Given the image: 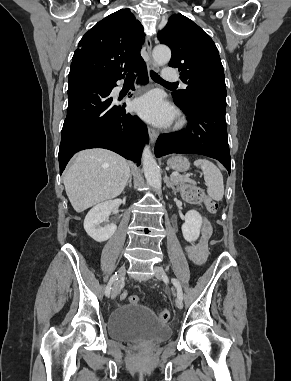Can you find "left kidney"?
<instances>
[{"instance_id":"1","label":"left kidney","mask_w":291,"mask_h":381,"mask_svg":"<svg viewBox=\"0 0 291 381\" xmlns=\"http://www.w3.org/2000/svg\"><path fill=\"white\" fill-rule=\"evenodd\" d=\"M182 234L187 242H194L200 235L202 217L196 210H189L184 217Z\"/></svg>"}]
</instances>
